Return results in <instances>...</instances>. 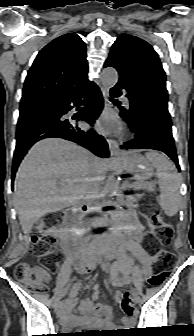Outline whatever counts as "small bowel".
Segmentation results:
<instances>
[{"instance_id": "small-bowel-1", "label": "small bowel", "mask_w": 194, "mask_h": 336, "mask_svg": "<svg viewBox=\"0 0 194 336\" xmlns=\"http://www.w3.org/2000/svg\"><path fill=\"white\" fill-rule=\"evenodd\" d=\"M127 219V237L120 240L112 252L115 261L111 266L110 275L107 278V283L116 287H123L131 282L139 285L143 279L148 278L152 274L153 259L142 246L145 235L144 228L137 220L135 211H129ZM127 251L138 259L141 264L140 269L134 265V261L126 253ZM75 264L81 273L88 274L90 272V268L81 264ZM78 288V286L74 287L70 298L61 307L62 322L70 326L77 324L112 325L113 308L107 304L95 303L100 295V289L97 285L93 289L91 298L81 302L78 308L79 315L74 313ZM115 299L117 301L122 300V294L119 291L115 293ZM123 323L125 326H131L133 320L132 318H124Z\"/></svg>"}]
</instances>
